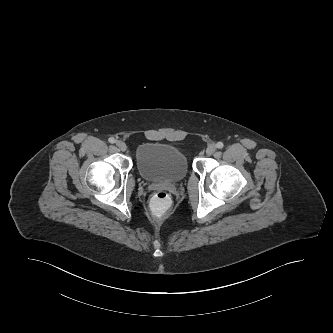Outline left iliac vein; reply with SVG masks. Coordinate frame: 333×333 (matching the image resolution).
Here are the masks:
<instances>
[{
	"instance_id": "obj_1",
	"label": "left iliac vein",
	"mask_w": 333,
	"mask_h": 333,
	"mask_svg": "<svg viewBox=\"0 0 333 333\" xmlns=\"http://www.w3.org/2000/svg\"><path fill=\"white\" fill-rule=\"evenodd\" d=\"M216 149L217 148L215 144H210L206 149L207 155H212L216 151Z\"/></svg>"
}]
</instances>
